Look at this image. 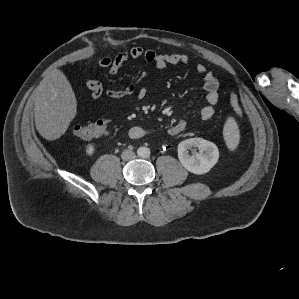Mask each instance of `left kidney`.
I'll return each mask as SVG.
<instances>
[{
  "label": "left kidney",
  "instance_id": "5707ae66",
  "mask_svg": "<svg viewBox=\"0 0 299 299\" xmlns=\"http://www.w3.org/2000/svg\"><path fill=\"white\" fill-rule=\"evenodd\" d=\"M196 147L199 153L189 154V149ZM178 158L183 167L191 173L202 175L209 172L219 159L217 146L202 138L184 140L178 145Z\"/></svg>",
  "mask_w": 299,
  "mask_h": 299
}]
</instances>
